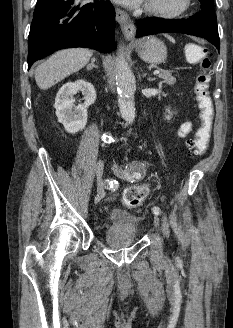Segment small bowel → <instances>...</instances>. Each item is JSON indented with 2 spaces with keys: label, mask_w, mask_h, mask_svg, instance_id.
<instances>
[{
  "label": "small bowel",
  "mask_w": 233,
  "mask_h": 328,
  "mask_svg": "<svg viewBox=\"0 0 233 328\" xmlns=\"http://www.w3.org/2000/svg\"><path fill=\"white\" fill-rule=\"evenodd\" d=\"M192 123L191 122H184L178 129V137L185 138L192 130Z\"/></svg>",
  "instance_id": "1"
}]
</instances>
